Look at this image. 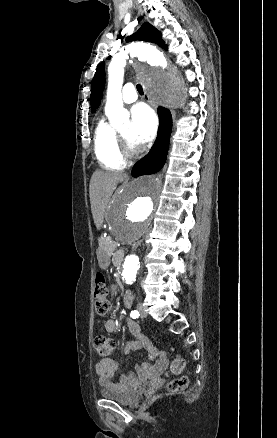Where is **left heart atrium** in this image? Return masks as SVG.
Returning <instances> with one entry per match:
<instances>
[{"label": "left heart atrium", "instance_id": "1", "mask_svg": "<svg viewBox=\"0 0 277 438\" xmlns=\"http://www.w3.org/2000/svg\"><path fill=\"white\" fill-rule=\"evenodd\" d=\"M133 125L131 141L136 149L143 148L156 132L157 119L153 110L146 104H138L131 109Z\"/></svg>", "mask_w": 277, "mask_h": 438}]
</instances>
